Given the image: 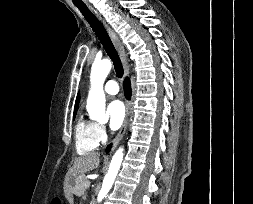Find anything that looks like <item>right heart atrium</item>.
Returning <instances> with one entry per match:
<instances>
[{
	"label": "right heart atrium",
	"mask_w": 253,
	"mask_h": 204,
	"mask_svg": "<svg viewBox=\"0 0 253 204\" xmlns=\"http://www.w3.org/2000/svg\"><path fill=\"white\" fill-rule=\"evenodd\" d=\"M95 136L99 142L106 141L108 133L106 127L103 124L95 123L94 125Z\"/></svg>",
	"instance_id": "1"
}]
</instances>
